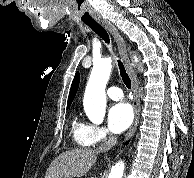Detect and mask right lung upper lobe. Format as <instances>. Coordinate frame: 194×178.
Listing matches in <instances>:
<instances>
[{
	"instance_id": "1",
	"label": "right lung upper lobe",
	"mask_w": 194,
	"mask_h": 178,
	"mask_svg": "<svg viewBox=\"0 0 194 178\" xmlns=\"http://www.w3.org/2000/svg\"><path fill=\"white\" fill-rule=\"evenodd\" d=\"M79 82H80V74H79V72H76L75 77H74L73 82H72V85H71V88H70V93H69L68 102H67V108L70 107V105H71V103L76 95V92H77V89L79 86Z\"/></svg>"
}]
</instances>
